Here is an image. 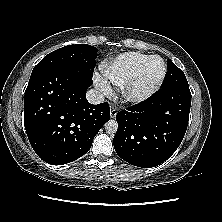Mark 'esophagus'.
<instances>
[{
	"label": "esophagus",
	"mask_w": 222,
	"mask_h": 222,
	"mask_svg": "<svg viewBox=\"0 0 222 222\" xmlns=\"http://www.w3.org/2000/svg\"><path fill=\"white\" fill-rule=\"evenodd\" d=\"M117 113H118L117 107H116V106H112V107H111V111H110L111 117H112V118H115L116 115H117Z\"/></svg>",
	"instance_id": "obj_1"
}]
</instances>
